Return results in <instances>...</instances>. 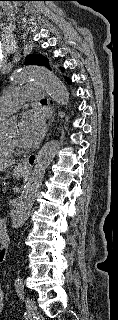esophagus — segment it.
<instances>
[{
	"mask_svg": "<svg viewBox=\"0 0 118 320\" xmlns=\"http://www.w3.org/2000/svg\"><path fill=\"white\" fill-rule=\"evenodd\" d=\"M54 121V116L52 117V119L50 120V125L52 124V122ZM50 135V133H49ZM37 156L34 154H31L29 156H27L22 162H21V166L23 167H32L35 162H36Z\"/></svg>",
	"mask_w": 118,
	"mask_h": 320,
	"instance_id": "1",
	"label": "esophagus"
}]
</instances>
